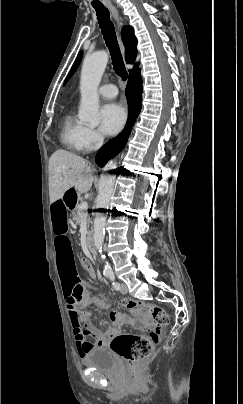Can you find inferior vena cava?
<instances>
[{
  "mask_svg": "<svg viewBox=\"0 0 243 404\" xmlns=\"http://www.w3.org/2000/svg\"><path fill=\"white\" fill-rule=\"evenodd\" d=\"M103 142H104V138H102V136H101V138H99V140H98V144H96V150H98V148H101Z\"/></svg>",
  "mask_w": 243,
  "mask_h": 404,
  "instance_id": "obj_1",
  "label": "inferior vena cava"
}]
</instances>
